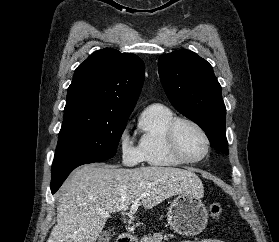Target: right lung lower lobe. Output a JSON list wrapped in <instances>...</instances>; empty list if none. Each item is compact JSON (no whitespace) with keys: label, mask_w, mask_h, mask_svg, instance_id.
Here are the masks:
<instances>
[{"label":"right lung lower lobe","mask_w":279,"mask_h":242,"mask_svg":"<svg viewBox=\"0 0 279 242\" xmlns=\"http://www.w3.org/2000/svg\"><path fill=\"white\" fill-rule=\"evenodd\" d=\"M69 174L70 173L64 175L63 177H61L57 181L51 183V192H52V194H54L60 188L61 184L63 183V181L67 178V176Z\"/></svg>","instance_id":"98d812e1"}]
</instances>
